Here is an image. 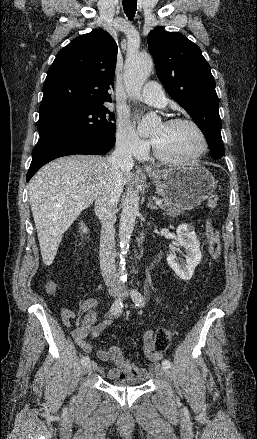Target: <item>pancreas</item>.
Returning <instances> with one entry per match:
<instances>
[{"label": "pancreas", "mask_w": 257, "mask_h": 439, "mask_svg": "<svg viewBox=\"0 0 257 439\" xmlns=\"http://www.w3.org/2000/svg\"><path fill=\"white\" fill-rule=\"evenodd\" d=\"M160 208L163 209L169 216H176L184 213L183 209L177 207L168 200H164V203L160 205Z\"/></svg>", "instance_id": "1"}]
</instances>
